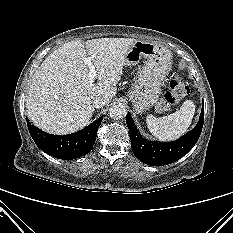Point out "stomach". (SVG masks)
<instances>
[{
	"label": "stomach",
	"mask_w": 233,
	"mask_h": 233,
	"mask_svg": "<svg viewBox=\"0 0 233 233\" xmlns=\"http://www.w3.org/2000/svg\"><path fill=\"white\" fill-rule=\"evenodd\" d=\"M141 58L147 59L146 64L129 91V99L138 114L158 104L162 82L171 66L172 54L159 44L137 40L126 54L125 65L136 64Z\"/></svg>",
	"instance_id": "0dacf381"
}]
</instances>
